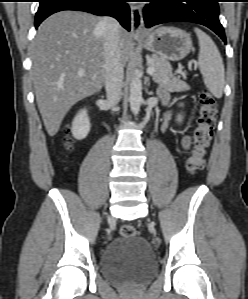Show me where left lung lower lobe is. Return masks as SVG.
<instances>
[{"mask_svg":"<svg viewBox=\"0 0 248 299\" xmlns=\"http://www.w3.org/2000/svg\"><path fill=\"white\" fill-rule=\"evenodd\" d=\"M143 18L147 28L172 21H187L213 30L226 43L219 21L218 0H149Z\"/></svg>","mask_w":248,"mask_h":299,"instance_id":"left-lung-lower-lobe-1","label":"left lung lower lobe"}]
</instances>
